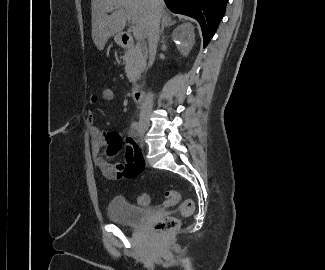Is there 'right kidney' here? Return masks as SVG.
<instances>
[{
  "instance_id": "ca27d5eb",
  "label": "right kidney",
  "mask_w": 325,
  "mask_h": 270,
  "mask_svg": "<svg viewBox=\"0 0 325 270\" xmlns=\"http://www.w3.org/2000/svg\"><path fill=\"white\" fill-rule=\"evenodd\" d=\"M172 38L176 43L179 52L182 55H188L195 42L192 25L186 23L178 26L174 30Z\"/></svg>"
}]
</instances>
